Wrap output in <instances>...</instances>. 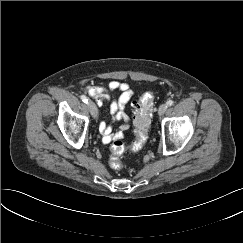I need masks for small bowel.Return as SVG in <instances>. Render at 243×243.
<instances>
[{"label":"small bowel","instance_id":"1","mask_svg":"<svg viewBox=\"0 0 243 243\" xmlns=\"http://www.w3.org/2000/svg\"><path fill=\"white\" fill-rule=\"evenodd\" d=\"M86 91L96 101L97 105L101 106L105 102L110 103V113L113 120L122 119L125 122L116 131H113L110 124L101 122L100 132L102 134V141L104 143H110L116 139L123 138L125 131L129 128V118L125 114V107L133 95L130 86L125 82L113 80L106 87L88 86L86 87ZM112 91L121 92L118 99H112L110 94Z\"/></svg>","mask_w":243,"mask_h":243}]
</instances>
